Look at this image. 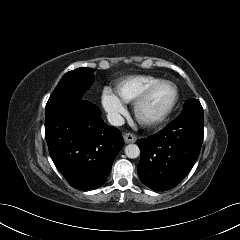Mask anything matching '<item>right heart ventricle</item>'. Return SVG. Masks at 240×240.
Returning a JSON list of instances; mask_svg holds the SVG:
<instances>
[{
    "mask_svg": "<svg viewBox=\"0 0 240 240\" xmlns=\"http://www.w3.org/2000/svg\"><path fill=\"white\" fill-rule=\"evenodd\" d=\"M162 81L151 75H136L122 79L116 86V93L125 103H133L150 86Z\"/></svg>",
    "mask_w": 240,
    "mask_h": 240,
    "instance_id": "1",
    "label": "right heart ventricle"
}]
</instances>
